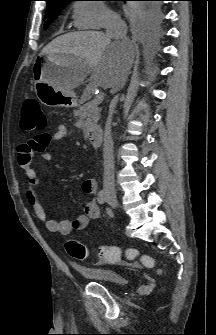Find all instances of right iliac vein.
Wrapping results in <instances>:
<instances>
[{
    "label": "right iliac vein",
    "mask_w": 216,
    "mask_h": 335,
    "mask_svg": "<svg viewBox=\"0 0 216 335\" xmlns=\"http://www.w3.org/2000/svg\"><path fill=\"white\" fill-rule=\"evenodd\" d=\"M106 197L108 199V202L111 204V205H114V206H118V201L117 199L111 194V193H106Z\"/></svg>",
    "instance_id": "1"
}]
</instances>
